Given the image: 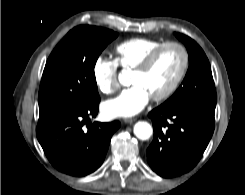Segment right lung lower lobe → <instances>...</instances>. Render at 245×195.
Masks as SVG:
<instances>
[{
  "instance_id": "right-lung-lower-lobe-1",
  "label": "right lung lower lobe",
  "mask_w": 245,
  "mask_h": 195,
  "mask_svg": "<svg viewBox=\"0 0 245 195\" xmlns=\"http://www.w3.org/2000/svg\"><path fill=\"white\" fill-rule=\"evenodd\" d=\"M99 102L39 116L37 138L57 170L81 177L94 172L103 163L120 122L91 124L90 117H96Z\"/></svg>"
}]
</instances>
